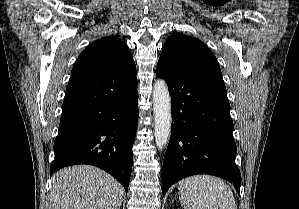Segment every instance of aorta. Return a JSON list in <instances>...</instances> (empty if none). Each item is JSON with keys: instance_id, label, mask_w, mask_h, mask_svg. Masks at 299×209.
Masks as SVG:
<instances>
[{"instance_id": "1", "label": "aorta", "mask_w": 299, "mask_h": 209, "mask_svg": "<svg viewBox=\"0 0 299 209\" xmlns=\"http://www.w3.org/2000/svg\"><path fill=\"white\" fill-rule=\"evenodd\" d=\"M153 111L155 124V143L162 149L168 142L171 133V97L168 86L162 79H158L153 89Z\"/></svg>"}]
</instances>
